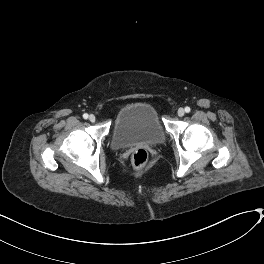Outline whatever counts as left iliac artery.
Here are the masks:
<instances>
[{
  "label": "left iliac artery",
  "instance_id": "1",
  "mask_svg": "<svg viewBox=\"0 0 264 264\" xmlns=\"http://www.w3.org/2000/svg\"><path fill=\"white\" fill-rule=\"evenodd\" d=\"M190 110H191V109H190V107H188V106H187V107H185V112H186V113H189V112H190Z\"/></svg>",
  "mask_w": 264,
  "mask_h": 264
}]
</instances>
